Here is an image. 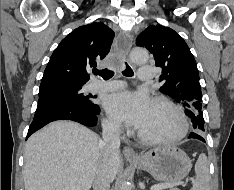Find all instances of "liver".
I'll return each mask as SVG.
<instances>
[{
	"instance_id": "1",
	"label": "liver",
	"mask_w": 234,
	"mask_h": 190,
	"mask_svg": "<svg viewBox=\"0 0 234 190\" xmlns=\"http://www.w3.org/2000/svg\"><path fill=\"white\" fill-rule=\"evenodd\" d=\"M101 139L71 121H55L29 137L25 148V190H90L101 162ZM111 181L121 155L108 161Z\"/></svg>"
}]
</instances>
